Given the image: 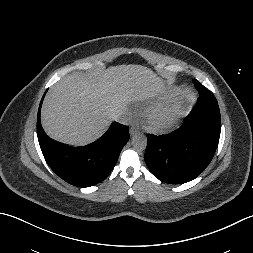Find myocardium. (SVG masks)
I'll use <instances>...</instances> for the list:
<instances>
[{
    "label": "myocardium",
    "mask_w": 253,
    "mask_h": 253,
    "mask_svg": "<svg viewBox=\"0 0 253 253\" xmlns=\"http://www.w3.org/2000/svg\"><path fill=\"white\" fill-rule=\"evenodd\" d=\"M183 111L181 101H174L153 107L146 117V127L156 133L171 130L178 122Z\"/></svg>",
    "instance_id": "f54148a6"
}]
</instances>
